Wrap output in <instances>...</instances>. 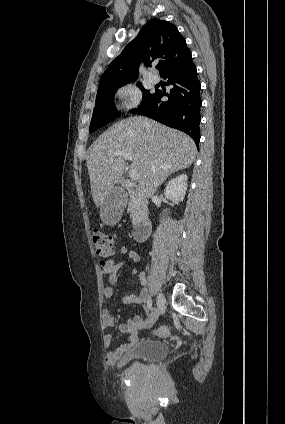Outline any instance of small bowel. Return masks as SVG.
<instances>
[{
	"mask_svg": "<svg viewBox=\"0 0 285 424\" xmlns=\"http://www.w3.org/2000/svg\"><path fill=\"white\" fill-rule=\"evenodd\" d=\"M120 253L123 256H127L131 261L138 262L140 260V255L134 251L129 249L127 246L120 247ZM123 265V262L117 264L113 268H102L101 274L108 277V285L103 288V296L104 298H111L114 294L113 286L118 281L117 271ZM140 282L143 286L141 292L139 294H127L123 298V302L125 304H143L145 305L146 311L148 313L146 318H141L140 316L133 315L126 323L120 324L118 329L119 332L126 335L127 340L125 343L120 344L114 350L108 352L106 354L105 360L108 364H116L120 357L129 350L134 344H136L139 340V334L141 331L150 328L154 321L152 319V312H150V308L148 305V292L144 287L146 284V276L144 273H141ZM115 325V317L109 311H104L102 315V326L104 329H109L114 327ZM113 340V336L111 334H105L104 343L106 345H110Z\"/></svg>",
	"mask_w": 285,
	"mask_h": 424,
	"instance_id": "small-bowel-1",
	"label": "small bowel"
}]
</instances>
